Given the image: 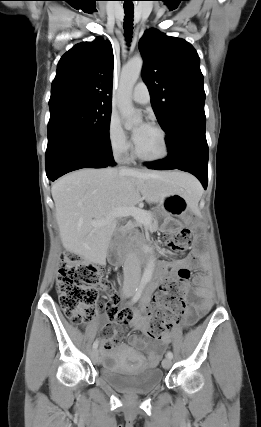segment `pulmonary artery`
Returning <instances> with one entry per match:
<instances>
[{
    "label": "pulmonary artery",
    "instance_id": "obj_1",
    "mask_svg": "<svg viewBox=\"0 0 261 427\" xmlns=\"http://www.w3.org/2000/svg\"><path fill=\"white\" fill-rule=\"evenodd\" d=\"M133 101L139 104H148L150 102V93L145 83L139 82L131 94Z\"/></svg>",
    "mask_w": 261,
    "mask_h": 427
}]
</instances>
